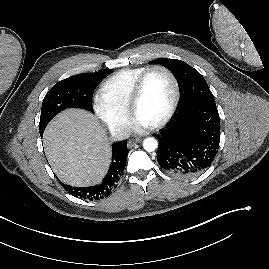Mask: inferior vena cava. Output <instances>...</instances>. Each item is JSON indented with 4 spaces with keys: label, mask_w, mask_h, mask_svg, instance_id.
<instances>
[{
    "label": "inferior vena cava",
    "mask_w": 269,
    "mask_h": 269,
    "mask_svg": "<svg viewBox=\"0 0 269 269\" xmlns=\"http://www.w3.org/2000/svg\"><path fill=\"white\" fill-rule=\"evenodd\" d=\"M129 130L123 127H118L111 130V137L115 141L125 140L129 137Z\"/></svg>",
    "instance_id": "602c4592"
}]
</instances>
